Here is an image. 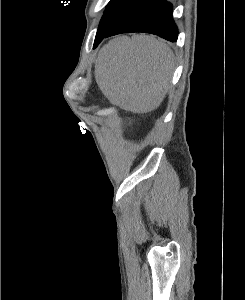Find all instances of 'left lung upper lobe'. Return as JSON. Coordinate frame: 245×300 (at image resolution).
<instances>
[{
    "mask_svg": "<svg viewBox=\"0 0 245 300\" xmlns=\"http://www.w3.org/2000/svg\"><path fill=\"white\" fill-rule=\"evenodd\" d=\"M144 0H110L100 21L97 33L107 32L131 8Z\"/></svg>",
    "mask_w": 245,
    "mask_h": 300,
    "instance_id": "obj_1",
    "label": "left lung upper lobe"
}]
</instances>
